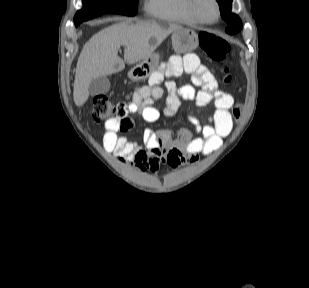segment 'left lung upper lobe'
I'll list each match as a JSON object with an SVG mask.
<instances>
[{
    "label": "left lung upper lobe",
    "mask_w": 309,
    "mask_h": 288,
    "mask_svg": "<svg viewBox=\"0 0 309 288\" xmlns=\"http://www.w3.org/2000/svg\"><path fill=\"white\" fill-rule=\"evenodd\" d=\"M217 2L220 6L222 17L228 24L226 32L228 34L238 33L242 28V23L237 15L231 13L232 0H217Z\"/></svg>",
    "instance_id": "1"
}]
</instances>
